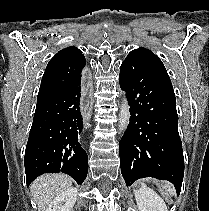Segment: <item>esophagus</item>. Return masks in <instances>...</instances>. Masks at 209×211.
Returning a JSON list of instances; mask_svg holds the SVG:
<instances>
[{
	"mask_svg": "<svg viewBox=\"0 0 209 211\" xmlns=\"http://www.w3.org/2000/svg\"><path fill=\"white\" fill-rule=\"evenodd\" d=\"M82 87H83V91H92L91 82H82ZM83 97L84 98H80V101H79L80 109H91V98H89L90 94L84 93ZM82 116L83 117H90L91 113L90 112H83Z\"/></svg>",
	"mask_w": 209,
	"mask_h": 211,
	"instance_id": "obj_1",
	"label": "esophagus"
}]
</instances>
